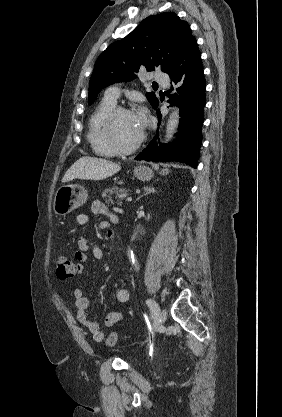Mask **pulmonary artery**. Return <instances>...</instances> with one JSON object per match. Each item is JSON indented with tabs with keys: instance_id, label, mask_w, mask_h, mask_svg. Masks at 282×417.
Here are the masks:
<instances>
[{
	"instance_id": "pulmonary-artery-1",
	"label": "pulmonary artery",
	"mask_w": 282,
	"mask_h": 417,
	"mask_svg": "<svg viewBox=\"0 0 282 417\" xmlns=\"http://www.w3.org/2000/svg\"><path fill=\"white\" fill-rule=\"evenodd\" d=\"M154 83H167L168 76L167 74H154L153 76ZM120 96V89L118 85L110 86L105 91V98L111 101L116 102Z\"/></svg>"
}]
</instances>
